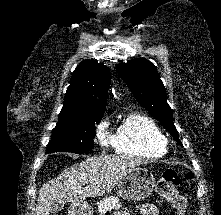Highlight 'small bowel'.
Returning <instances> with one entry per match:
<instances>
[{
    "label": "small bowel",
    "instance_id": "c3829d8e",
    "mask_svg": "<svg viewBox=\"0 0 221 215\" xmlns=\"http://www.w3.org/2000/svg\"><path fill=\"white\" fill-rule=\"evenodd\" d=\"M137 210L141 215H159L157 206L151 203L139 205ZM115 215H130V212L125 208L115 213Z\"/></svg>",
    "mask_w": 221,
    "mask_h": 215
}]
</instances>
